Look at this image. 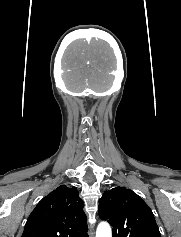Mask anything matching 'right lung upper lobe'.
Instances as JSON below:
<instances>
[{"label": "right lung upper lobe", "instance_id": "1", "mask_svg": "<svg viewBox=\"0 0 181 237\" xmlns=\"http://www.w3.org/2000/svg\"><path fill=\"white\" fill-rule=\"evenodd\" d=\"M83 207L78 190L61 185L37 204L22 237H88Z\"/></svg>", "mask_w": 181, "mask_h": 237}]
</instances>
